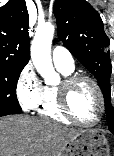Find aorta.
<instances>
[{
  "label": "aorta",
  "mask_w": 114,
  "mask_h": 156,
  "mask_svg": "<svg viewBox=\"0 0 114 156\" xmlns=\"http://www.w3.org/2000/svg\"><path fill=\"white\" fill-rule=\"evenodd\" d=\"M54 32L55 27L51 23L39 26L30 50L32 62L47 84H54L59 80L51 59V44Z\"/></svg>",
  "instance_id": "1"
}]
</instances>
